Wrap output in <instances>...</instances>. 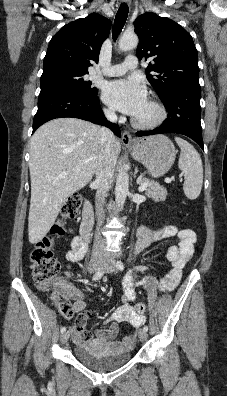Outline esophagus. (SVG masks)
Listing matches in <instances>:
<instances>
[{"mask_svg": "<svg viewBox=\"0 0 227 396\" xmlns=\"http://www.w3.org/2000/svg\"><path fill=\"white\" fill-rule=\"evenodd\" d=\"M122 1L125 2V3L129 2V0H122ZM122 143L124 145H132L134 143V140H133L130 132H128V131H124L123 132V134H122Z\"/></svg>", "mask_w": 227, "mask_h": 396, "instance_id": "1", "label": "esophagus"}]
</instances>
